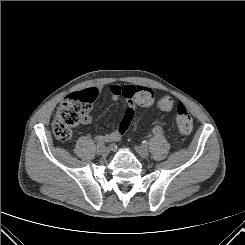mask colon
I'll return each instance as SVG.
<instances>
[{
    "instance_id": "colon-1",
    "label": "colon",
    "mask_w": 245,
    "mask_h": 245,
    "mask_svg": "<svg viewBox=\"0 0 245 245\" xmlns=\"http://www.w3.org/2000/svg\"><path fill=\"white\" fill-rule=\"evenodd\" d=\"M96 96L97 90L91 88L72 93L64 99L56 110L52 123L53 133L58 140L66 141L71 137L72 128L83 121ZM135 100L140 106H150L154 101L152 90L138 87L135 91ZM176 114V123L180 133L185 136L189 135L193 129V121L184 104H177Z\"/></svg>"
}]
</instances>
